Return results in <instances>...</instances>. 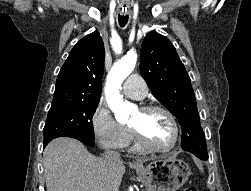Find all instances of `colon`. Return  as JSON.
<instances>
[{"mask_svg":"<svg viewBox=\"0 0 251 191\" xmlns=\"http://www.w3.org/2000/svg\"><path fill=\"white\" fill-rule=\"evenodd\" d=\"M183 191H197V189L195 187L188 186V187H185Z\"/></svg>","mask_w":251,"mask_h":191,"instance_id":"5ec220e1","label":"colon"}]
</instances>
